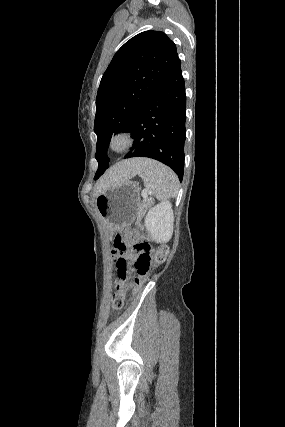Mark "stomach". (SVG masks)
I'll return each instance as SVG.
<instances>
[{"mask_svg":"<svg viewBox=\"0 0 285 427\" xmlns=\"http://www.w3.org/2000/svg\"><path fill=\"white\" fill-rule=\"evenodd\" d=\"M96 208L110 232L131 224L138 216L140 194L135 182H118L101 192Z\"/></svg>","mask_w":285,"mask_h":427,"instance_id":"stomach-1","label":"stomach"}]
</instances>
